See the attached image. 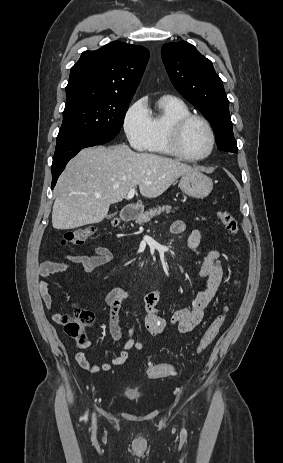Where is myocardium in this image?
<instances>
[{
    "label": "myocardium",
    "mask_w": 283,
    "mask_h": 463,
    "mask_svg": "<svg viewBox=\"0 0 283 463\" xmlns=\"http://www.w3.org/2000/svg\"><path fill=\"white\" fill-rule=\"evenodd\" d=\"M193 121H199L201 122L207 129L210 137V147L207 153H205L202 156L199 157H191L186 155L182 148H181V137L182 134L185 130V128ZM167 144L170 153L177 157L180 160L186 161V162H200L203 160H206L209 158L214 149H215V144H216V136L214 129L211 125V123L203 116L197 115V114H188L185 115L179 119H177L169 128L168 131V136H167Z\"/></svg>",
    "instance_id": "myocardium-1"
}]
</instances>
